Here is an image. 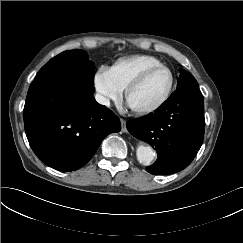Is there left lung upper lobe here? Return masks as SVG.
Instances as JSON below:
<instances>
[{"label": "left lung upper lobe", "instance_id": "left-lung-upper-lobe-1", "mask_svg": "<svg viewBox=\"0 0 243 243\" xmlns=\"http://www.w3.org/2000/svg\"><path fill=\"white\" fill-rule=\"evenodd\" d=\"M185 86H198L196 79L187 71L182 70L181 75L178 79L177 88Z\"/></svg>", "mask_w": 243, "mask_h": 243}]
</instances>
